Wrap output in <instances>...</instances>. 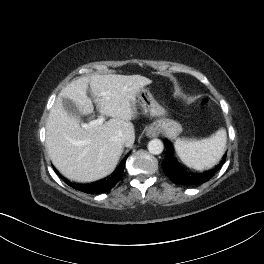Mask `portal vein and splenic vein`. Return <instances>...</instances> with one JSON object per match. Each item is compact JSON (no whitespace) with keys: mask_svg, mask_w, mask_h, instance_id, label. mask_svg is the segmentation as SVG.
<instances>
[{"mask_svg":"<svg viewBox=\"0 0 264 264\" xmlns=\"http://www.w3.org/2000/svg\"><path fill=\"white\" fill-rule=\"evenodd\" d=\"M102 95H104V93ZM104 121H105V119H104L103 115H101V116L98 117V119L92 120L89 123L83 124L82 128L89 129V128H92V127H95V126H99V125H102Z\"/></svg>","mask_w":264,"mask_h":264,"instance_id":"obj_1","label":"portal vein and splenic vein"}]
</instances>
